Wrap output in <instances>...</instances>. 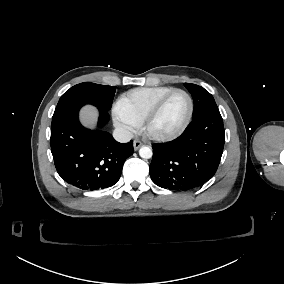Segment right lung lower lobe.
Segmentation results:
<instances>
[{"label":"right lung lower lobe","mask_w":284,"mask_h":284,"mask_svg":"<svg viewBox=\"0 0 284 284\" xmlns=\"http://www.w3.org/2000/svg\"><path fill=\"white\" fill-rule=\"evenodd\" d=\"M81 107H67L52 117L50 143L56 170L63 180L82 190L111 187L134 152L133 142L121 144L108 132L84 128L78 119ZM99 112L102 126L109 114Z\"/></svg>","instance_id":"98d812e1"}]
</instances>
